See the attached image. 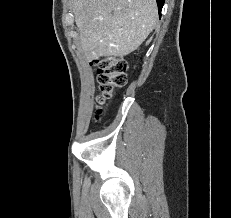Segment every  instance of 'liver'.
Returning <instances> with one entry per match:
<instances>
[{
	"instance_id": "obj_1",
	"label": "liver",
	"mask_w": 231,
	"mask_h": 218,
	"mask_svg": "<svg viewBox=\"0 0 231 218\" xmlns=\"http://www.w3.org/2000/svg\"><path fill=\"white\" fill-rule=\"evenodd\" d=\"M71 8L85 57H122L153 31L155 0H72Z\"/></svg>"
}]
</instances>
